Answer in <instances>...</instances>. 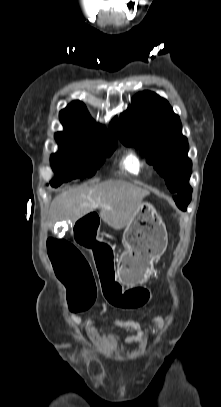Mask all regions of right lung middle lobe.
Listing matches in <instances>:
<instances>
[{
	"instance_id": "1",
	"label": "right lung middle lobe",
	"mask_w": 221,
	"mask_h": 407,
	"mask_svg": "<svg viewBox=\"0 0 221 407\" xmlns=\"http://www.w3.org/2000/svg\"><path fill=\"white\" fill-rule=\"evenodd\" d=\"M59 151L51 156V166L56 177L51 180L53 187L74 180L85 179L95 174L105 157L112 154L117 142L88 144L58 141Z\"/></svg>"
}]
</instances>
